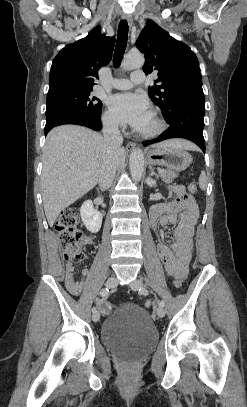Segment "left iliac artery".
I'll list each match as a JSON object with an SVG mask.
<instances>
[{
	"mask_svg": "<svg viewBox=\"0 0 247 407\" xmlns=\"http://www.w3.org/2000/svg\"><path fill=\"white\" fill-rule=\"evenodd\" d=\"M140 292H141L142 294H144V295H148V293H149L146 288H141V289H140ZM159 307H162V308L164 307V301H160V302H159Z\"/></svg>",
	"mask_w": 247,
	"mask_h": 407,
	"instance_id": "44dca946",
	"label": "left iliac artery"
}]
</instances>
